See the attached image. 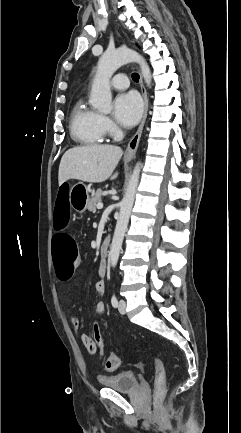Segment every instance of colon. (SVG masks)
<instances>
[{"instance_id":"5ec220e1","label":"colon","mask_w":241,"mask_h":433,"mask_svg":"<svg viewBox=\"0 0 241 433\" xmlns=\"http://www.w3.org/2000/svg\"><path fill=\"white\" fill-rule=\"evenodd\" d=\"M53 225L56 226L57 233L51 236L52 257L54 260L57 277L62 282L69 281L74 275L77 264L76 239L70 230H63L69 225V218L72 214L69 187L66 182L56 187ZM89 348H96L105 358V367L109 371H114L120 366V359L117 355L106 350L98 324L94 327L93 343H88ZM154 395L160 398L166 390V370L163 361L154 356Z\"/></svg>"}]
</instances>
